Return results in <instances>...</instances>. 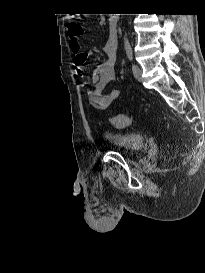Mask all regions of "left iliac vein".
Masks as SVG:
<instances>
[{"label": "left iliac vein", "instance_id": "4c4485c4", "mask_svg": "<svg viewBox=\"0 0 205 273\" xmlns=\"http://www.w3.org/2000/svg\"><path fill=\"white\" fill-rule=\"evenodd\" d=\"M132 71L134 74V77L138 80V81H142V71L140 69V67L136 64L132 65Z\"/></svg>", "mask_w": 205, "mask_h": 273}]
</instances>
